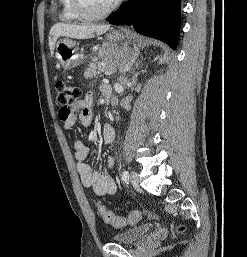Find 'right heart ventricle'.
Wrapping results in <instances>:
<instances>
[{"label": "right heart ventricle", "mask_w": 247, "mask_h": 257, "mask_svg": "<svg viewBox=\"0 0 247 257\" xmlns=\"http://www.w3.org/2000/svg\"><path fill=\"white\" fill-rule=\"evenodd\" d=\"M61 5V19L63 21L72 22L81 20L73 7V0H59Z\"/></svg>", "instance_id": "e07e8e85"}]
</instances>
